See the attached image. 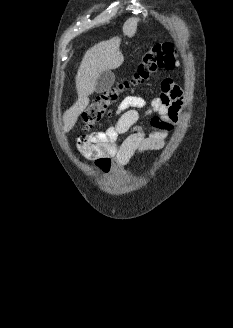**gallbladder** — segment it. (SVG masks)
Segmentation results:
<instances>
[{"instance_id":"1","label":"gallbladder","mask_w":233,"mask_h":328,"mask_svg":"<svg viewBox=\"0 0 233 328\" xmlns=\"http://www.w3.org/2000/svg\"><path fill=\"white\" fill-rule=\"evenodd\" d=\"M115 82V75L112 71L106 70L99 74L96 80V93H103L110 89Z\"/></svg>"}]
</instances>
